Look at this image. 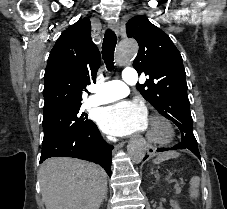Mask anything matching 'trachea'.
<instances>
[{"label": "trachea", "instance_id": "obj_1", "mask_svg": "<svg viewBox=\"0 0 227 209\" xmlns=\"http://www.w3.org/2000/svg\"><path fill=\"white\" fill-rule=\"evenodd\" d=\"M117 44V37L112 30H106L103 45L102 56L108 71L114 70V50Z\"/></svg>", "mask_w": 227, "mask_h": 209}]
</instances>
